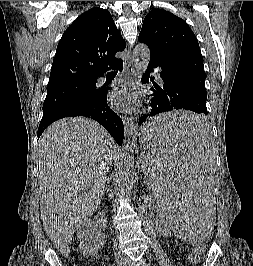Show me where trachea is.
Returning <instances> with one entry per match:
<instances>
[{
    "label": "trachea",
    "mask_w": 253,
    "mask_h": 266,
    "mask_svg": "<svg viewBox=\"0 0 253 266\" xmlns=\"http://www.w3.org/2000/svg\"><path fill=\"white\" fill-rule=\"evenodd\" d=\"M109 74H116V72H115V71H112V72H110Z\"/></svg>",
    "instance_id": "3493384b"
}]
</instances>
